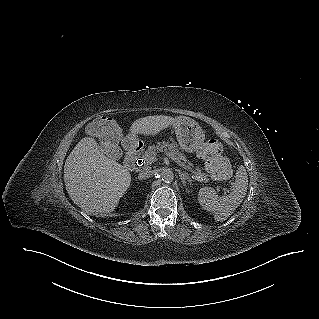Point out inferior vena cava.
Here are the masks:
<instances>
[{"instance_id": "602c4592", "label": "inferior vena cava", "mask_w": 319, "mask_h": 319, "mask_svg": "<svg viewBox=\"0 0 319 319\" xmlns=\"http://www.w3.org/2000/svg\"><path fill=\"white\" fill-rule=\"evenodd\" d=\"M153 174H154L153 171L147 170V171H144V172L139 173L138 179L141 180V179L150 178V177L153 176Z\"/></svg>"}]
</instances>
